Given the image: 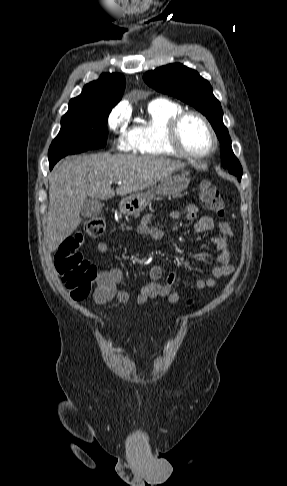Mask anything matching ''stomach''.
Here are the masks:
<instances>
[{
	"instance_id": "obj_1",
	"label": "stomach",
	"mask_w": 287,
	"mask_h": 486,
	"mask_svg": "<svg viewBox=\"0 0 287 486\" xmlns=\"http://www.w3.org/2000/svg\"><path fill=\"white\" fill-rule=\"evenodd\" d=\"M189 182L184 175H170L147 191L124 197L119 204L120 211L126 215L137 214L146 208L155 195L164 197L178 194L188 187Z\"/></svg>"
}]
</instances>
